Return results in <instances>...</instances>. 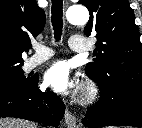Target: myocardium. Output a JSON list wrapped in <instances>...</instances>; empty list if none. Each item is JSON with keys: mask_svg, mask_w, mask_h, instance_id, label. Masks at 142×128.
Returning a JSON list of instances; mask_svg holds the SVG:
<instances>
[{"mask_svg": "<svg viewBox=\"0 0 142 128\" xmlns=\"http://www.w3.org/2000/svg\"><path fill=\"white\" fill-rule=\"evenodd\" d=\"M98 96V88L95 83L88 81L82 87L80 101L82 103H91L93 102Z\"/></svg>", "mask_w": 142, "mask_h": 128, "instance_id": "obj_1", "label": "myocardium"}]
</instances>
